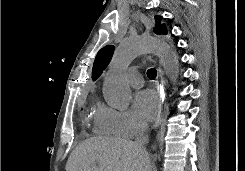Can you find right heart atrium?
Instances as JSON below:
<instances>
[{
    "label": "right heart atrium",
    "mask_w": 245,
    "mask_h": 171,
    "mask_svg": "<svg viewBox=\"0 0 245 171\" xmlns=\"http://www.w3.org/2000/svg\"><path fill=\"white\" fill-rule=\"evenodd\" d=\"M95 127L100 134L131 138L145 128V123L132 111L101 105L96 112Z\"/></svg>",
    "instance_id": "1"
}]
</instances>
